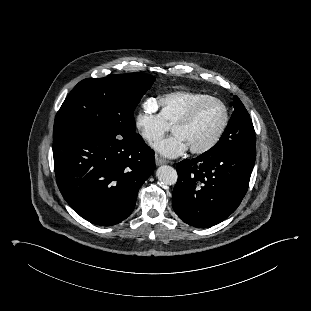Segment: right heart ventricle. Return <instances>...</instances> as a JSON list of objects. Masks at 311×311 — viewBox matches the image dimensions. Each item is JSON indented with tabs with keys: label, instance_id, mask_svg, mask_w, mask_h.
Here are the masks:
<instances>
[{
	"label": "right heart ventricle",
	"instance_id": "right-heart-ventricle-1",
	"mask_svg": "<svg viewBox=\"0 0 311 311\" xmlns=\"http://www.w3.org/2000/svg\"><path fill=\"white\" fill-rule=\"evenodd\" d=\"M208 96L198 92L177 91L160 97L156 106L162 120L172 127L193 104Z\"/></svg>",
	"mask_w": 311,
	"mask_h": 311
}]
</instances>
